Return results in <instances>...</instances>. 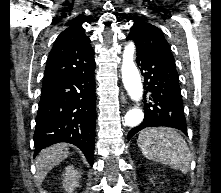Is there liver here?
Masks as SVG:
<instances>
[{
    "label": "liver",
    "instance_id": "1",
    "mask_svg": "<svg viewBox=\"0 0 221 193\" xmlns=\"http://www.w3.org/2000/svg\"><path fill=\"white\" fill-rule=\"evenodd\" d=\"M69 154L68 144L66 143H58L42 149L35 161L36 180L42 182L48 172L65 160Z\"/></svg>",
    "mask_w": 221,
    "mask_h": 193
}]
</instances>
